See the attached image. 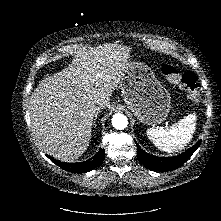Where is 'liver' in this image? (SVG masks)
<instances>
[{
    "label": "liver",
    "mask_w": 221,
    "mask_h": 221,
    "mask_svg": "<svg viewBox=\"0 0 221 221\" xmlns=\"http://www.w3.org/2000/svg\"><path fill=\"white\" fill-rule=\"evenodd\" d=\"M131 49L106 43L79 53L64 70L42 80L29 101L34 138L47 154L66 162L88 148L96 100L108 98L124 76Z\"/></svg>",
    "instance_id": "liver-1"
}]
</instances>
